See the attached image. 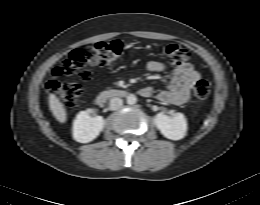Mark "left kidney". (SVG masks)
<instances>
[{
  "instance_id": "1",
  "label": "left kidney",
  "mask_w": 260,
  "mask_h": 205,
  "mask_svg": "<svg viewBox=\"0 0 260 205\" xmlns=\"http://www.w3.org/2000/svg\"><path fill=\"white\" fill-rule=\"evenodd\" d=\"M154 123L170 140H180L186 136L187 121L182 113H175L172 117L159 113L154 117Z\"/></svg>"
}]
</instances>
